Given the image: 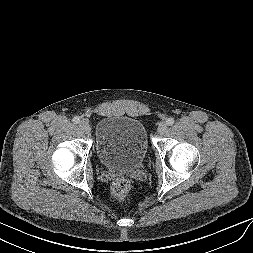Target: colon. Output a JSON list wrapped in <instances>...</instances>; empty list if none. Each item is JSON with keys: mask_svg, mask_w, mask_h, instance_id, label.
<instances>
[{"mask_svg": "<svg viewBox=\"0 0 253 253\" xmlns=\"http://www.w3.org/2000/svg\"><path fill=\"white\" fill-rule=\"evenodd\" d=\"M132 189V181L127 177L117 178L111 187L113 195L119 200L126 201L129 199Z\"/></svg>", "mask_w": 253, "mask_h": 253, "instance_id": "obj_1", "label": "colon"}]
</instances>
